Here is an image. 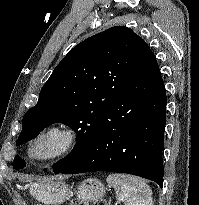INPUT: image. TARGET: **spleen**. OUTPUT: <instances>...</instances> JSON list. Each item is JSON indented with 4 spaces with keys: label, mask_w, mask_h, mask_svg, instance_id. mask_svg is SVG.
Returning <instances> with one entry per match:
<instances>
[{
    "label": "spleen",
    "mask_w": 199,
    "mask_h": 205,
    "mask_svg": "<svg viewBox=\"0 0 199 205\" xmlns=\"http://www.w3.org/2000/svg\"><path fill=\"white\" fill-rule=\"evenodd\" d=\"M106 181L124 205H153L152 190L144 180L127 174H110Z\"/></svg>",
    "instance_id": "3e777b00"
}]
</instances>
